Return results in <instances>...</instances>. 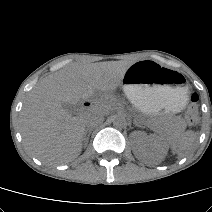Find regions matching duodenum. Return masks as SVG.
Listing matches in <instances>:
<instances>
[{
  "instance_id": "duodenum-1",
  "label": "duodenum",
  "mask_w": 212,
  "mask_h": 212,
  "mask_svg": "<svg viewBox=\"0 0 212 212\" xmlns=\"http://www.w3.org/2000/svg\"><path fill=\"white\" fill-rule=\"evenodd\" d=\"M81 106L84 111H89L92 108V102L89 100H85L82 102Z\"/></svg>"
}]
</instances>
